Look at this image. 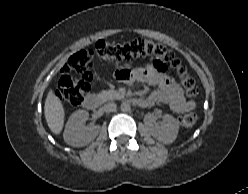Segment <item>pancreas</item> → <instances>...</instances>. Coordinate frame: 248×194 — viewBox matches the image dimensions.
Listing matches in <instances>:
<instances>
[{
  "instance_id": "cf45deb5",
  "label": "pancreas",
  "mask_w": 248,
  "mask_h": 194,
  "mask_svg": "<svg viewBox=\"0 0 248 194\" xmlns=\"http://www.w3.org/2000/svg\"><path fill=\"white\" fill-rule=\"evenodd\" d=\"M99 97L103 101H108V100H115V99H120L123 98V95L119 93L118 91L115 90H109V91H102L99 94Z\"/></svg>"
}]
</instances>
